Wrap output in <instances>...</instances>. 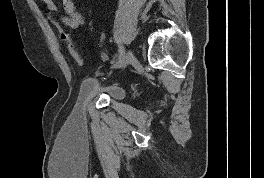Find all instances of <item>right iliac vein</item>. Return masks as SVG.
Segmentation results:
<instances>
[{
	"label": "right iliac vein",
	"mask_w": 264,
	"mask_h": 178,
	"mask_svg": "<svg viewBox=\"0 0 264 178\" xmlns=\"http://www.w3.org/2000/svg\"><path fill=\"white\" fill-rule=\"evenodd\" d=\"M129 55H130V52L124 54L118 62H116L114 64V68L115 69H120V68H123L127 65L128 61H129Z\"/></svg>",
	"instance_id": "right-iliac-vein-1"
}]
</instances>
